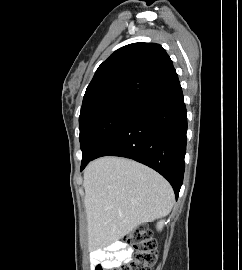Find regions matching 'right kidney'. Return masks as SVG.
<instances>
[{
  "label": "right kidney",
  "mask_w": 242,
  "mask_h": 270,
  "mask_svg": "<svg viewBox=\"0 0 242 270\" xmlns=\"http://www.w3.org/2000/svg\"><path fill=\"white\" fill-rule=\"evenodd\" d=\"M163 224H164V221H160V222L157 224V228H158L159 230H161L162 227H163Z\"/></svg>",
  "instance_id": "obj_1"
}]
</instances>
